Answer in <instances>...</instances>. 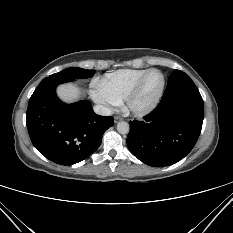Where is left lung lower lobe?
<instances>
[{"label":"left lung lower lobe","instance_id":"left-lung-lower-lobe-1","mask_svg":"<svg viewBox=\"0 0 233 233\" xmlns=\"http://www.w3.org/2000/svg\"><path fill=\"white\" fill-rule=\"evenodd\" d=\"M203 118L204 103L196 85L187 74L175 70L159 105L143 121H130L127 146L147 165H172L196 144Z\"/></svg>","mask_w":233,"mask_h":233}]
</instances>
